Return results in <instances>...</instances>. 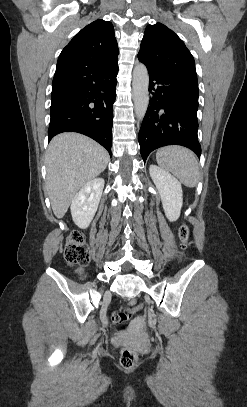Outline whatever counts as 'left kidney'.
<instances>
[{"label":"left kidney","mask_w":247,"mask_h":407,"mask_svg":"<svg viewBox=\"0 0 247 407\" xmlns=\"http://www.w3.org/2000/svg\"><path fill=\"white\" fill-rule=\"evenodd\" d=\"M149 173L160 194L167 219L171 222L176 221L183 204L181 183L169 172L156 165H150Z\"/></svg>","instance_id":"1"}]
</instances>
